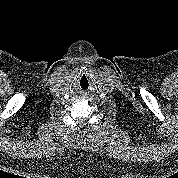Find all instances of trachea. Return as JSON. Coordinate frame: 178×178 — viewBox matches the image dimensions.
Returning <instances> with one entry per match:
<instances>
[{"label": "trachea", "mask_w": 178, "mask_h": 178, "mask_svg": "<svg viewBox=\"0 0 178 178\" xmlns=\"http://www.w3.org/2000/svg\"><path fill=\"white\" fill-rule=\"evenodd\" d=\"M78 86L81 90H87L89 88V81L86 76L80 78Z\"/></svg>", "instance_id": "obj_1"}]
</instances>
